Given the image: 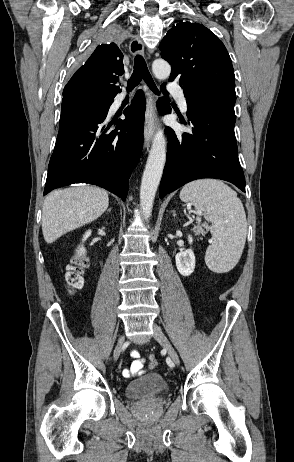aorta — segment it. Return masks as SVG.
<instances>
[{
  "label": "aorta",
  "instance_id": "obj_1",
  "mask_svg": "<svg viewBox=\"0 0 294 462\" xmlns=\"http://www.w3.org/2000/svg\"><path fill=\"white\" fill-rule=\"evenodd\" d=\"M152 71L159 80L170 76L171 66L165 60L157 59L152 64ZM166 162V139L161 129H158L152 142L147 158L140 187V204L146 221L151 217L153 203Z\"/></svg>",
  "mask_w": 294,
  "mask_h": 462
}]
</instances>
